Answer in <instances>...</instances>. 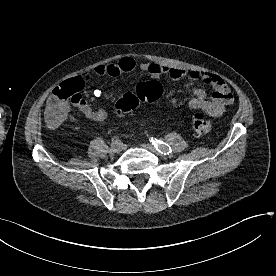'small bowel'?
<instances>
[{
    "instance_id": "1",
    "label": "small bowel",
    "mask_w": 276,
    "mask_h": 276,
    "mask_svg": "<svg viewBox=\"0 0 276 276\" xmlns=\"http://www.w3.org/2000/svg\"><path fill=\"white\" fill-rule=\"evenodd\" d=\"M136 68L149 74L154 79L166 77L171 80H178L184 77H189L191 80H200L204 84L213 89L211 98L207 97L205 90L194 88L192 90L193 98L189 101L188 109L190 111L202 110L210 116L221 115L226 107L233 102V94L225 81L218 75L202 72L198 70L186 71L180 68L163 66L157 63L144 62L137 64L132 57H123L116 63L107 65H98L94 69L83 73L76 77L85 83L92 81H100L107 77H118L123 73H130ZM102 92L98 89L93 91L94 97H99ZM74 107L79 109L81 113L89 120L103 121L107 118V111L104 108H94L90 106L82 96L76 102L72 103ZM50 106V98L47 101L46 107ZM72 120H75L71 117Z\"/></svg>"
}]
</instances>
